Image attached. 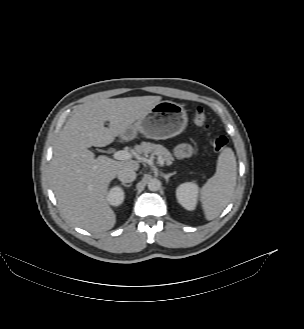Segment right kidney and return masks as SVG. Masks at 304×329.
I'll list each match as a JSON object with an SVG mask.
<instances>
[{
  "instance_id": "ca27d5eb",
  "label": "right kidney",
  "mask_w": 304,
  "mask_h": 329,
  "mask_svg": "<svg viewBox=\"0 0 304 329\" xmlns=\"http://www.w3.org/2000/svg\"><path fill=\"white\" fill-rule=\"evenodd\" d=\"M125 198V193L123 189L118 186H115L110 189L107 194V200L112 206H119L123 203Z\"/></svg>"
}]
</instances>
